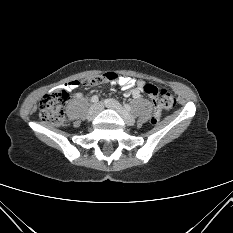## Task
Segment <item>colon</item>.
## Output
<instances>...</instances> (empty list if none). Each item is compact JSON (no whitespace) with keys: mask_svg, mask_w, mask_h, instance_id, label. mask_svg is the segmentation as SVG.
I'll return each instance as SVG.
<instances>
[{"mask_svg":"<svg viewBox=\"0 0 233 233\" xmlns=\"http://www.w3.org/2000/svg\"><path fill=\"white\" fill-rule=\"evenodd\" d=\"M110 73V72H108ZM104 74H97L83 79L81 82L84 86H98L110 83L112 80H105ZM145 93L151 95L155 104V115L151 119V123L158 121L159 115L163 112L171 110L175 106L174 96L163 88H157L154 85L146 84L143 87ZM68 101L67 91L61 89L54 90L45 95L40 102V117L43 121L55 126H61L65 123L64 107Z\"/></svg>","mask_w":233,"mask_h":233,"instance_id":"1","label":"colon"}]
</instances>
